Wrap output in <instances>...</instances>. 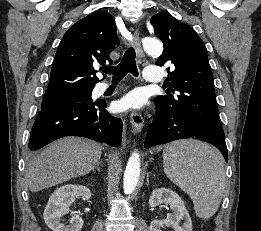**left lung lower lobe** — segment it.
Listing matches in <instances>:
<instances>
[{
  "label": "left lung lower lobe",
  "mask_w": 261,
  "mask_h": 231,
  "mask_svg": "<svg viewBox=\"0 0 261 231\" xmlns=\"http://www.w3.org/2000/svg\"><path fill=\"white\" fill-rule=\"evenodd\" d=\"M156 109V116L146 135V148L178 139L195 138L214 145L227 161V147L224 135L210 126L193 120L182 112L167 111L157 105Z\"/></svg>",
  "instance_id": "0a47b994"
}]
</instances>
